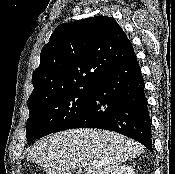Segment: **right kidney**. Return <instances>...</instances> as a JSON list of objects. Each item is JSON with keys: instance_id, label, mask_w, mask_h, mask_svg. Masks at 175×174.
I'll return each instance as SVG.
<instances>
[{"instance_id": "ca27d5eb", "label": "right kidney", "mask_w": 175, "mask_h": 174, "mask_svg": "<svg viewBox=\"0 0 175 174\" xmlns=\"http://www.w3.org/2000/svg\"><path fill=\"white\" fill-rule=\"evenodd\" d=\"M112 174H135L131 165H120L116 167Z\"/></svg>"}]
</instances>
